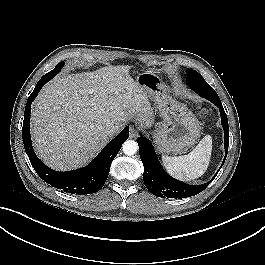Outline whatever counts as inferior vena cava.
<instances>
[{
    "label": "inferior vena cava",
    "mask_w": 265,
    "mask_h": 265,
    "mask_svg": "<svg viewBox=\"0 0 265 265\" xmlns=\"http://www.w3.org/2000/svg\"><path fill=\"white\" fill-rule=\"evenodd\" d=\"M116 128L114 125H109L106 129L107 134L113 135L115 134Z\"/></svg>",
    "instance_id": "602c4592"
}]
</instances>
